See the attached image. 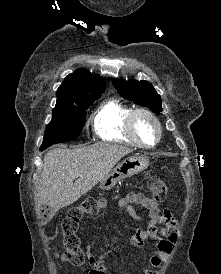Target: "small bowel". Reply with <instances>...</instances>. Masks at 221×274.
Wrapping results in <instances>:
<instances>
[{
    "label": "small bowel",
    "mask_w": 221,
    "mask_h": 274,
    "mask_svg": "<svg viewBox=\"0 0 221 274\" xmlns=\"http://www.w3.org/2000/svg\"><path fill=\"white\" fill-rule=\"evenodd\" d=\"M133 205H139L147 212L146 217L139 215ZM119 206L124 208L131 217L144 221L146 228H137L130 237V244L135 248H142L152 239L155 249L152 251L149 261L144 266L145 274H154V268L167 259L173 252L178 225L172 213L167 209H160L151 199L141 193L131 192L119 201ZM87 257L92 269L88 274H111L104 265L103 257H96L90 248H87Z\"/></svg>",
    "instance_id": "1"
}]
</instances>
